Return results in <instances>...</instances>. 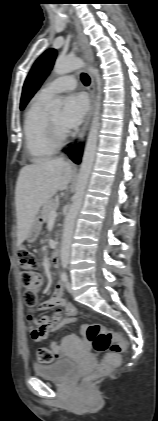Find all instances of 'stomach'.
Instances as JSON below:
<instances>
[{
  "label": "stomach",
  "instance_id": "0dacf381",
  "mask_svg": "<svg viewBox=\"0 0 158 421\" xmlns=\"http://www.w3.org/2000/svg\"><path fill=\"white\" fill-rule=\"evenodd\" d=\"M42 229V218L40 216L36 217L32 223V226L29 230L27 240L28 242H34L38 235L40 234V231Z\"/></svg>",
  "mask_w": 158,
  "mask_h": 421
}]
</instances>
